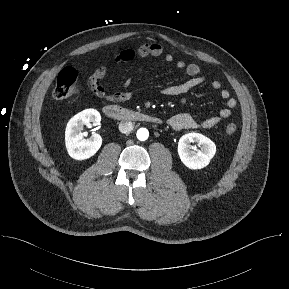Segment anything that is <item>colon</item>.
<instances>
[{
    "mask_svg": "<svg viewBox=\"0 0 289 289\" xmlns=\"http://www.w3.org/2000/svg\"><path fill=\"white\" fill-rule=\"evenodd\" d=\"M77 72L71 67L64 68L58 75L53 96L56 99H66L73 96L77 91ZM237 131V125L229 122L226 126V132L233 135Z\"/></svg>",
    "mask_w": 289,
    "mask_h": 289,
    "instance_id": "obj_1",
    "label": "colon"
}]
</instances>
